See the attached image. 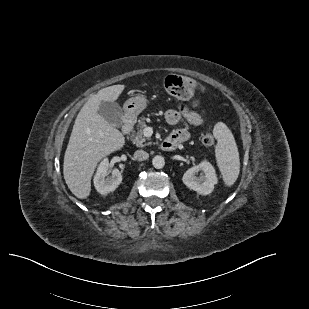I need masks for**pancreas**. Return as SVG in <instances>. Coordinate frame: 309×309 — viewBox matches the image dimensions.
I'll return each mask as SVG.
<instances>
[{
    "instance_id": "cf45deb5",
    "label": "pancreas",
    "mask_w": 309,
    "mask_h": 309,
    "mask_svg": "<svg viewBox=\"0 0 309 309\" xmlns=\"http://www.w3.org/2000/svg\"><path fill=\"white\" fill-rule=\"evenodd\" d=\"M146 127V123L143 120H139V124L137 125V131H133L131 135V140L138 147H144L149 145L150 142H147L148 138L143 135V129Z\"/></svg>"
}]
</instances>
